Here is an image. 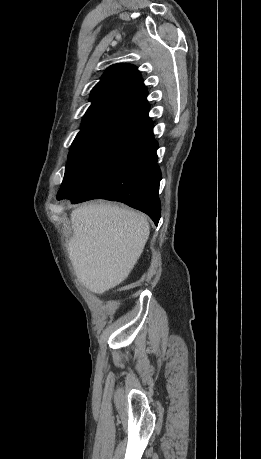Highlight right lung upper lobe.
<instances>
[{
  "instance_id": "cb5924a9",
  "label": "right lung upper lobe",
  "mask_w": 261,
  "mask_h": 459,
  "mask_svg": "<svg viewBox=\"0 0 261 459\" xmlns=\"http://www.w3.org/2000/svg\"><path fill=\"white\" fill-rule=\"evenodd\" d=\"M147 89L140 72L133 65L116 64L109 67L93 88L81 131L84 136L111 126H150Z\"/></svg>"
}]
</instances>
